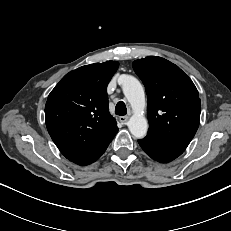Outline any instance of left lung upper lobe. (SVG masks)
Here are the masks:
<instances>
[{"instance_id": "left-lung-upper-lobe-1", "label": "left lung upper lobe", "mask_w": 231, "mask_h": 231, "mask_svg": "<svg viewBox=\"0 0 231 231\" xmlns=\"http://www.w3.org/2000/svg\"><path fill=\"white\" fill-rule=\"evenodd\" d=\"M133 68L147 92V135L184 151L199 126L201 101L194 83L161 57L136 60Z\"/></svg>"}]
</instances>
